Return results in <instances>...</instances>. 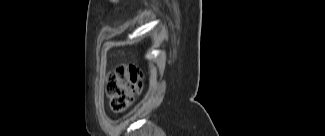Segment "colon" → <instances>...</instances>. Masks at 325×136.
Returning <instances> with one entry per match:
<instances>
[{
	"label": "colon",
	"instance_id": "obj_1",
	"mask_svg": "<svg viewBox=\"0 0 325 136\" xmlns=\"http://www.w3.org/2000/svg\"><path fill=\"white\" fill-rule=\"evenodd\" d=\"M142 72L135 66H118L108 75L106 91L114 112H124L141 90Z\"/></svg>",
	"mask_w": 325,
	"mask_h": 136
}]
</instances>
